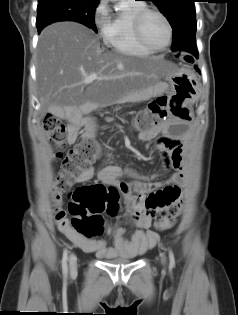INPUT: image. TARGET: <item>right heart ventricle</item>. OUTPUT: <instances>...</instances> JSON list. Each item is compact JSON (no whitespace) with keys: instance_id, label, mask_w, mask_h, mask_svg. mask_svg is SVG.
Listing matches in <instances>:
<instances>
[{"instance_id":"1","label":"right heart ventricle","mask_w":238,"mask_h":315,"mask_svg":"<svg viewBox=\"0 0 238 315\" xmlns=\"http://www.w3.org/2000/svg\"><path fill=\"white\" fill-rule=\"evenodd\" d=\"M146 8L140 1L127 0V7L118 11L102 30L104 44L113 51L132 56H148L153 52L144 48L136 39L133 29L135 15Z\"/></svg>"}]
</instances>
